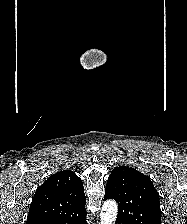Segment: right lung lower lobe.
<instances>
[{
  "instance_id": "1",
  "label": "right lung lower lobe",
  "mask_w": 187,
  "mask_h": 224,
  "mask_svg": "<svg viewBox=\"0 0 187 224\" xmlns=\"http://www.w3.org/2000/svg\"><path fill=\"white\" fill-rule=\"evenodd\" d=\"M72 224H87V222H86V217L83 218V219H80L79 221H76V222H74V223H72Z\"/></svg>"
}]
</instances>
